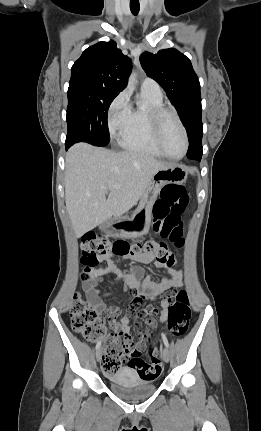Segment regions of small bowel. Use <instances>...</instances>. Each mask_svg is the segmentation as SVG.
<instances>
[{
    "instance_id": "small-bowel-1",
    "label": "small bowel",
    "mask_w": 261,
    "mask_h": 431,
    "mask_svg": "<svg viewBox=\"0 0 261 431\" xmlns=\"http://www.w3.org/2000/svg\"><path fill=\"white\" fill-rule=\"evenodd\" d=\"M134 259L144 262L152 263L157 268H163L167 272V276L163 277L160 281L154 280L150 275H145L140 267H133L128 274H123L116 266L113 260L107 259V266L96 269L85 268L81 274L82 289L86 294L87 300L92 306V309L97 314H102L105 319L110 320L113 328H119L122 332L129 334L130 325L129 317L136 325L137 330H146L143 339L137 344L136 350L141 351L145 348L146 343L149 341L153 332L152 319L148 318L151 314H158L161 322H165L168 318L167 303L161 301L160 309H157L155 303L158 296L164 294L168 290L176 289L183 284V273L181 270L173 269V265L161 263L153 256L142 255L133 257ZM107 274H113L117 280L123 281L125 287L136 289L131 291V312H126V317L120 321L117 318L120 316V309L117 307L108 308L105 304L103 297L108 296L110 293H103L98 284L101 277ZM147 304L148 307H145ZM141 316V318H137ZM128 317V318H127ZM143 334V331H139Z\"/></svg>"
}]
</instances>
